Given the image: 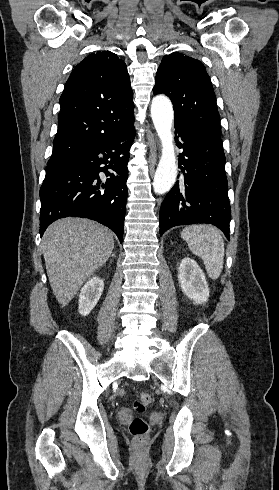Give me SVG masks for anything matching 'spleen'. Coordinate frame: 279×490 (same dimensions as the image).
Masks as SVG:
<instances>
[{
    "label": "spleen",
    "instance_id": "1",
    "mask_svg": "<svg viewBox=\"0 0 279 490\" xmlns=\"http://www.w3.org/2000/svg\"><path fill=\"white\" fill-rule=\"evenodd\" d=\"M185 234H187L185 238ZM192 254L202 258L209 278L217 280L224 264L223 238L214 226H188L182 232Z\"/></svg>",
    "mask_w": 279,
    "mask_h": 490
}]
</instances>
